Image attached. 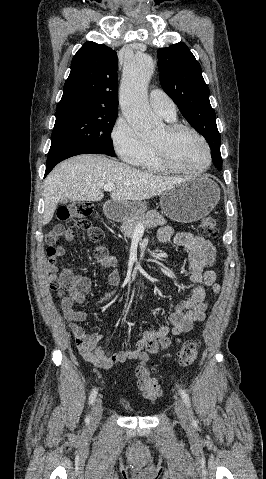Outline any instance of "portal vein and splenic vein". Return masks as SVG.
<instances>
[{"label": "portal vein and splenic vein", "mask_w": 266, "mask_h": 479, "mask_svg": "<svg viewBox=\"0 0 266 479\" xmlns=\"http://www.w3.org/2000/svg\"><path fill=\"white\" fill-rule=\"evenodd\" d=\"M115 190V185L113 184H107L104 186V191H108V192H111ZM136 231L138 232H143L144 231V225L139 223L136 225V228H135Z\"/></svg>", "instance_id": "obj_1"}]
</instances>
